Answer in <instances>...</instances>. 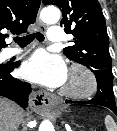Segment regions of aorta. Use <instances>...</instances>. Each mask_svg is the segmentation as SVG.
Masks as SVG:
<instances>
[{"label": "aorta", "instance_id": "obj_1", "mask_svg": "<svg viewBox=\"0 0 117 131\" xmlns=\"http://www.w3.org/2000/svg\"><path fill=\"white\" fill-rule=\"evenodd\" d=\"M60 16V10L56 7H46L40 13L42 21L49 24L57 23ZM39 131H54L53 124L49 120H44L39 126Z\"/></svg>", "mask_w": 117, "mask_h": 131}]
</instances>
